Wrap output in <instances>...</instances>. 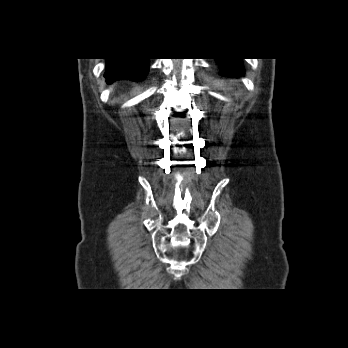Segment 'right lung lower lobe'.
<instances>
[{
    "label": "right lung lower lobe",
    "instance_id": "obj_1",
    "mask_svg": "<svg viewBox=\"0 0 348 348\" xmlns=\"http://www.w3.org/2000/svg\"><path fill=\"white\" fill-rule=\"evenodd\" d=\"M149 70L148 58L107 59L104 77L107 83L119 79L139 81L145 78Z\"/></svg>",
    "mask_w": 348,
    "mask_h": 348
}]
</instances>
